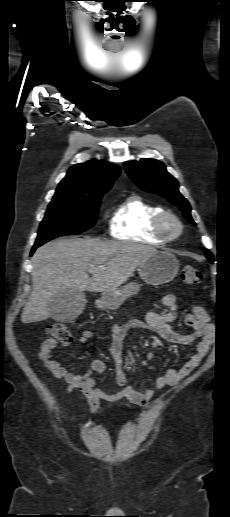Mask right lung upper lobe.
Listing matches in <instances>:
<instances>
[{"label":"right lung upper lobe","instance_id":"cb5924a9","mask_svg":"<svg viewBox=\"0 0 230 517\" xmlns=\"http://www.w3.org/2000/svg\"><path fill=\"white\" fill-rule=\"evenodd\" d=\"M120 168L106 161L90 160L72 166L59 183L53 198H87L107 192Z\"/></svg>","mask_w":230,"mask_h":517}]
</instances>
